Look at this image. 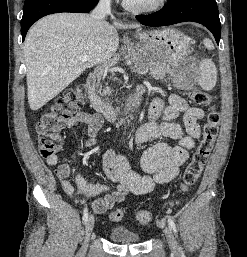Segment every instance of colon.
I'll return each mask as SVG.
<instances>
[{"label":"colon","instance_id":"1","mask_svg":"<svg viewBox=\"0 0 247 257\" xmlns=\"http://www.w3.org/2000/svg\"><path fill=\"white\" fill-rule=\"evenodd\" d=\"M189 95L195 104L209 106V110L203 125L202 138L182 175L181 192L188 191L200 177L212 151L220 123V113L213 104L214 97L212 95L201 90H193ZM84 104L85 89L82 85H78L66 89L56 98L51 108L41 116L37 122L36 131L39 151L43 157L55 155L61 150L60 132L67 119ZM151 217V213L146 210H140L136 213L137 221L143 226L150 222ZM110 218L113 221H120L123 218V212L116 210L111 213Z\"/></svg>","mask_w":247,"mask_h":257}]
</instances>
